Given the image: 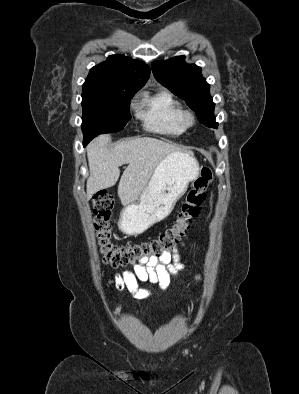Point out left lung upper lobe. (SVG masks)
<instances>
[{
	"label": "left lung upper lobe",
	"instance_id": "5c2ea615",
	"mask_svg": "<svg viewBox=\"0 0 299 394\" xmlns=\"http://www.w3.org/2000/svg\"><path fill=\"white\" fill-rule=\"evenodd\" d=\"M156 80L167 87L196 112L199 121L206 127L217 128L215 104L210 96V85L203 78L201 68L186 64L184 56L165 61H155L151 65Z\"/></svg>",
	"mask_w": 299,
	"mask_h": 394
}]
</instances>
